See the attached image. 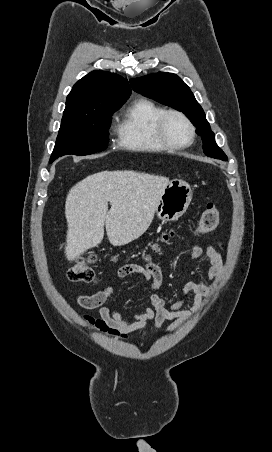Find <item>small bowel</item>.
Instances as JSON below:
<instances>
[{
	"label": "small bowel",
	"mask_w": 272,
	"mask_h": 452,
	"mask_svg": "<svg viewBox=\"0 0 272 452\" xmlns=\"http://www.w3.org/2000/svg\"><path fill=\"white\" fill-rule=\"evenodd\" d=\"M205 258L210 266L205 276L199 280H189L183 287L182 296L173 303H167L156 290L163 282V273L160 266L152 260H146L143 264L127 263L118 270V277L124 278L132 274L143 276L149 283L144 288L147 294V304L144 312L134 314L130 318L123 317L111 308L112 287H106L90 295H81L78 298L79 305L86 310H97L99 317L84 315V321L94 326L103 333L125 339L127 334L133 331H143L150 321L153 328L159 329L164 322L171 323L165 328L164 333H172L177 330L185 320L198 310L201 300L212 293L211 281H219L223 269V257L219 248L208 245L205 248L200 244H194L191 248V262H197ZM192 299V308L185 309L187 300Z\"/></svg>",
	"instance_id": "1"
}]
</instances>
